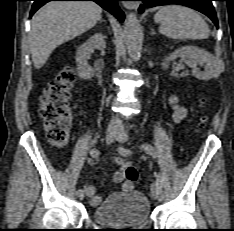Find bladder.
<instances>
[{
    "label": "bladder",
    "instance_id": "bladder-1",
    "mask_svg": "<svg viewBox=\"0 0 234 231\" xmlns=\"http://www.w3.org/2000/svg\"><path fill=\"white\" fill-rule=\"evenodd\" d=\"M151 208L145 194L138 191L110 195L92 211V220L109 226H136L147 222Z\"/></svg>",
    "mask_w": 234,
    "mask_h": 231
}]
</instances>
